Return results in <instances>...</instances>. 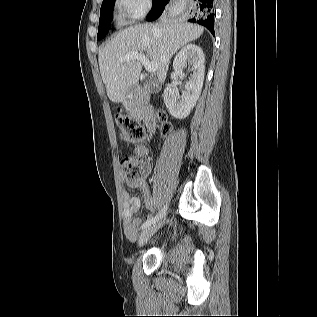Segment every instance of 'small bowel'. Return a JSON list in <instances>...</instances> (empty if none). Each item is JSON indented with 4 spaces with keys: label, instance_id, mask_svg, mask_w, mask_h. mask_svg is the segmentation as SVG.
Instances as JSON below:
<instances>
[{
    "label": "small bowel",
    "instance_id": "1",
    "mask_svg": "<svg viewBox=\"0 0 317 317\" xmlns=\"http://www.w3.org/2000/svg\"><path fill=\"white\" fill-rule=\"evenodd\" d=\"M138 152L140 154H145L146 149L144 147H140ZM126 182L128 185L140 189L144 196L147 207L150 210H154V201L150 196L149 188L146 182L143 179L135 183H131L126 179ZM124 198V233L128 238L133 239L137 235L138 227L141 222V219H134L133 216L139 211L141 207V201L137 197H130L127 192L124 193Z\"/></svg>",
    "mask_w": 317,
    "mask_h": 317
}]
</instances>
